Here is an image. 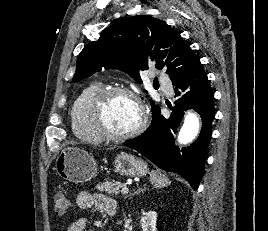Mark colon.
I'll return each instance as SVG.
<instances>
[{
	"label": "colon",
	"mask_w": 268,
	"mask_h": 231,
	"mask_svg": "<svg viewBox=\"0 0 268 231\" xmlns=\"http://www.w3.org/2000/svg\"><path fill=\"white\" fill-rule=\"evenodd\" d=\"M53 201H54V210L58 215L64 214L70 207V200L64 193L61 192L56 193Z\"/></svg>",
	"instance_id": "5ec220e1"
}]
</instances>
